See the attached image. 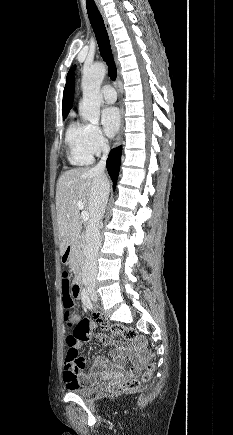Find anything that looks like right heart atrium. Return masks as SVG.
Wrapping results in <instances>:
<instances>
[{
    "instance_id": "1",
    "label": "right heart atrium",
    "mask_w": 233,
    "mask_h": 435,
    "mask_svg": "<svg viewBox=\"0 0 233 435\" xmlns=\"http://www.w3.org/2000/svg\"><path fill=\"white\" fill-rule=\"evenodd\" d=\"M87 146L92 155H101L108 147L107 139L97 125H88Z\"/></svg>"
}]
</instances>
